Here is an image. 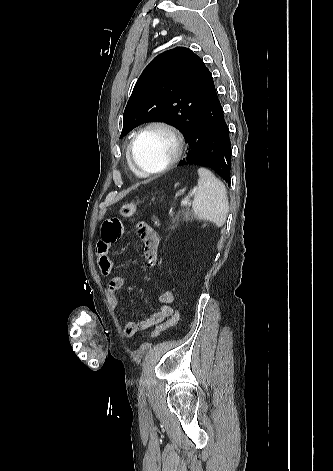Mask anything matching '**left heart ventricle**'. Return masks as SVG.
Instances as JSON below:
<instances>
[{
	"label": "left heart ventricle",
	"mask_w": 333,
	"mask_h": 471,
	"mask_svg": "<svg viewBox=\"0 0 333 471\" xmlns=\"http://www.w3.org/2000/svg\"><path fill=\"white\" fill-rule=\"evenodd\" d=\"M175 149L171 135L159 128L146 131L134 148L136 162L146 170L162 167L173 155Z\"/></svg>",
	"instance_id": "obj_1"
}]
</instances>
